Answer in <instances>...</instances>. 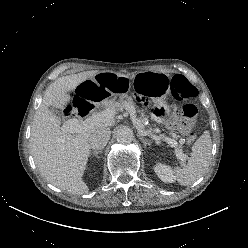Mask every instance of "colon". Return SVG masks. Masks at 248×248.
I'll return each instance as SVG.
<instances>
[{
    "instance_id": "1",
    "label": "colon",
    "mask_w": 248,
    "mask_h": 248,
    "mask_svg": "<svg viewBox=\"0 0 248 248\" xmlns=\"http://www.w3.org/2000/svg\"><path fill=\"white\" fill-rule=\"evenodd\" d=\"M170 89L175 99L179 101H186L181 107V114L184 120L180 121V123H192L193 126V119L197 114V108L195 104L189 100L197 95V89L180 74L175 75L172 78ZM139 96H144V94L139 92ZM76 113L75 107L72 105H68L63 111L65 117H70ZM186 136L187 143L189 145L193 144L196 139V133L192 130V127L186 131Z\"/></svg>"
}]
</instances>
